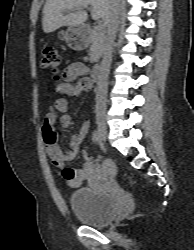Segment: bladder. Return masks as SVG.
<instances>
[{"mask_svg": "<svg viewBox=\"0 0 194 250\" xmlns=\"http://www.w3.org/2000/svg\"><path fill=\"white\" fill-rule=\"evenodd\" d=\"M70 207L73 214L89 226H104L116 214L114 198L106 192L90 187L71 193Z\"/></svg>", "mask_w": 194, "mask_h": 250, "instance_id": "bladder-1", "label": "bladder"}]
</instances>
